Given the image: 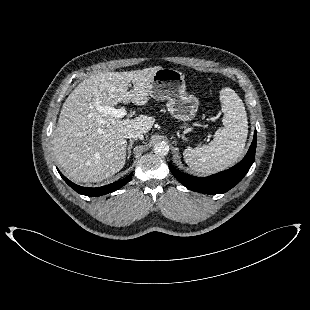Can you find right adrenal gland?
Returning <instances> with one entry per match:
<instances>
[{
  "instance_id": "right-adrenal-gland-1",
  "label": "right adrenal gland",
  "mask_w": 310,
  "mask_h": 310,
  "mask_svg": "<svg viewBox=\"0 0 310 310\" xmlns=\"http://www.w3.org/2000/svg\"><path fill=\"white\" fill-rule=\"evenodd\" d=\"M136 139H131L130 142H129V145H128V148H127V159L130 158L131 156V149H132V145L134 143Z\"/></svg>"
}]
</instances>
